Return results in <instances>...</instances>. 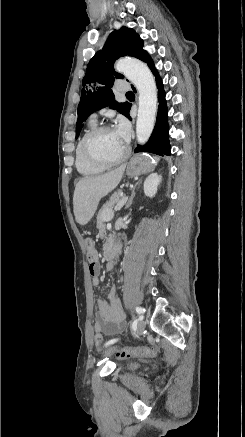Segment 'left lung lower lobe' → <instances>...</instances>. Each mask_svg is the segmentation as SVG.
Instances as JSON below:
<instances>
[{
	"label": "left lung lower lobe",
	"mask_w": 245,
	"mask_h": 437,
	"mask_svg": "<svg viewBox=\"0 0 245 437\" xmlns=\"http://www.w3.org/2000/svg\"><path fill=\"white\" fill-rule=\"evenodd\" d=\"M140 60L146 62L148 64L149 68L152 70L153 74L156 76V83H157V87H158L159 106H158L156 125L154 127V130H153L148 142L142 146L138 145L134 152L135 153L150 152V153L158 154L160 156L170 155V144H169V137H168L169 127H168V122H167L168 110H167V106H166L165 92L163 90L162 80L154 67V63H153L150 55L147 52H145L141 56ZM130 108H131V106H130ZM130 108H129V111H130ZM129 111H128V114L126 115V117L131 120V118L129 116Z\"/></svg>",
	"instance_id": "left-lung-lower-lobe-1"
}]
</instances>
